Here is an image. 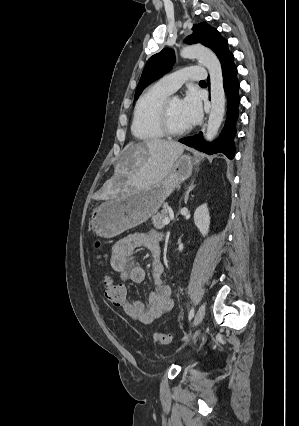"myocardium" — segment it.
Instances as JSON below:
<instances>
[{"label": "myocardium", "instance_id": "myocardium-1", "mask_svg": "<svg viewBox=\"0 0 299 426\" xmlns=\"http://www.w3.org/2000/svg\"><path fill=\"white\" fill-rule=\"evenodd\" d=\"M174 97H168L160 107L158 113V124L164 135L180 136L186 134L190 130V126L181 129H175L170 123V105Z\"/></svg>", "mask_w": 299, "mask_h": 426}]
</instances>
